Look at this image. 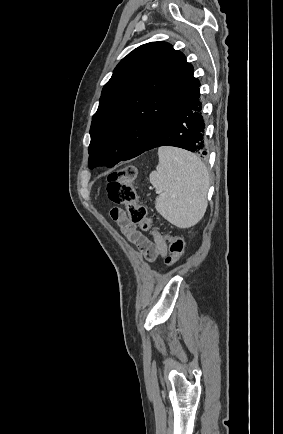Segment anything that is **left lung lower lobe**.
Masks as SVG:
<instances>
[{"label":"left lung lower lobe","instance_id":"0a47b994","mask_svg":"<svg viewBox=\"0 0 283 434\" xmlns=\"http://www.w3.org/2000/svg\"><path fill=\"white\" fill-rule=\"evenodd\" d=\"M200 89L191 91L166 117L145 151L175 146L206 155Z\"/></svg>","mask_w":283,"mask_h":434}]
</instances>
